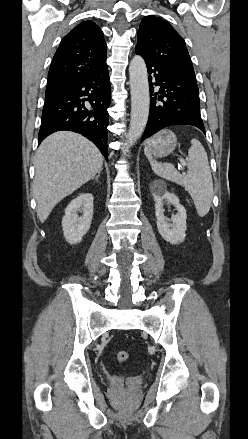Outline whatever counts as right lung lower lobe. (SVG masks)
I'll use <instances>...</instances> for the list:
<instances>
[{
  "label": "right lung lower lobe",
  "mask_w": 248,
  "mask_h": 439,
  "mask_svg": "<svg viewBox=\"0 0 248 439\" xmlns=\"http://www.w3.org/2000/svg\"><path fill=\"white\" fill-rule=\"evenodd\" d=\"M111 102L108 68L47 94L42 111L38 145L50 134L69 130L91 140L108 160L107 108Z\"/></svg>",
  "instance_id": "1"
}]
</instances>
